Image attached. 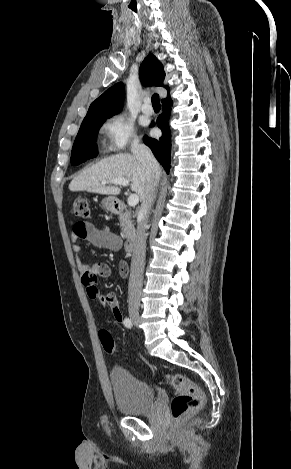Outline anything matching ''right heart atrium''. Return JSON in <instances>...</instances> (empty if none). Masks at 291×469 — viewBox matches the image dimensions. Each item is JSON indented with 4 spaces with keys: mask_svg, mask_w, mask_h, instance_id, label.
<instances>
[{
    "mask_svg": "<svg viewBox=\"0 0 291 469\" xmlns=\"http://www.w3.org/2000/svg\"><path fill=\"white\" fill-rule=\"evenodd\" d=\"M108 151L120 152L138 144V137L132 121L124 114H114L101 128Z\"/></svg>",
    "mask_w": 291,
    "mask_h": 469,
    "instance_id": "1",
    "label": "right heart atrium"
}]
</instances>
